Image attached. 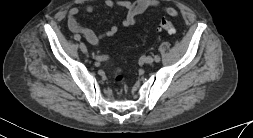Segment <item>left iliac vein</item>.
<instances>
[{"instance_id": "4c4485c4", "label": "left iliac vein", "mask_w": 253, "mask_h": 138, "mask_svg": "<svg viewBox=\"0 0 253 138\" xmlns=\"http://www.w3.org/2000/svg\"><path fill=\"white\" fill-rule=\"evenodd\" d=\"M144 61L147 64H151L154 62V58L152 56H147V57H145Z\"/></svg>"}]
</instances>
